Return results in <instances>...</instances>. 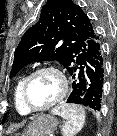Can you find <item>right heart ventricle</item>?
<instances>
[{
  "label": "right heart ventricle",
  "mask_w": 117,
  "mask_h": 136,
  "mask_svg": "<svg viewBox=\"0 0 117 136\" xmlns=\"http://www.w3.org/2000/svg\"><path fill=\"white\" fill-rule=\"evenodd\" d=\"M25 79H26V76H23L17 81L14 88V94H13L15 109L20 115H24V116L31 113L26 109L22 101V88H23Z\"/></svg>",
  "instance_id": "1"
}]
</instances>
